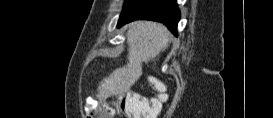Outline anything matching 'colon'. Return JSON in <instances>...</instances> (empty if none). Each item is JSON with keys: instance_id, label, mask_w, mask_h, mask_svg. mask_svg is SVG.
<instances>
[{"instance_id": "1", "label": "colon", "mask_w": 273, "mask_h": 118, "mask_svg": "<svg viewBox=\"0 0 273 118\" xmlns=\"http://www.w3.org/2000/svg\"><path fill=\"white\" fill-rule=\"evenodd\" d=\"M166 101L164 94L146 97L136 92L119 95L111 104L101 101L96 95L92 97V104L86 118H93L96 113L103 118H114L117 113H123L129 118H155Z\"/></svg>"}]
</instances>
